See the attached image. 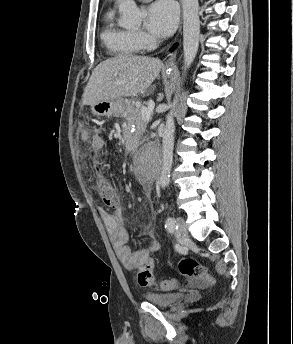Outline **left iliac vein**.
Segmentation results:
<instances>
[{
  "mask_svg": "<svg viewBox=\"0 0 293 344\" xmlns=\"http://www.w3.org/2000/svg\"><path fill=\"white\" fill-rule=\"evenodd\" d=\"M178 228L176 229V236L180 240H185L188 238V230L186 223L182 217L177 218Z\"/></svg>",
  "mask_w": 293,
  "mask_h": 344,
  "instance_id": "obj_1",
  "label": "left iliac vein"
}]
</instances>
